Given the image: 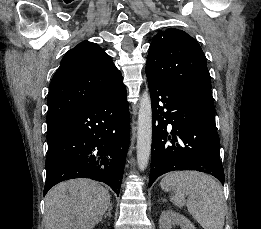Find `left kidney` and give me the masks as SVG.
Returning a JSON list of instances; mask_svg holds the SVG:
<instances>
[{
    "label": "left kidney",
    "mask_w": 261,
    "mask_h": 229,
    "mask_svg": "<svg viewBox=\"0 0 261 229\" xmlns=\"http://www.w3.org/2000/svg\"><path fill=\"white\" fill-rule=\"evenodd\" d=\"M173 225H180L181 229H195L191 221L175 211H163L159 219V229H172Z\"/></svg>",
    "instance_id": "1"
}]
</instances>
